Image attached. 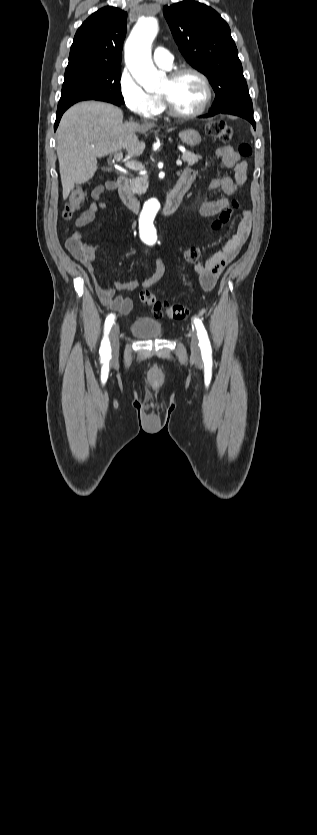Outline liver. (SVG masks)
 Masks as SVG:
<instances>
[{"label":"liver","instance_id":"1","mask_svg":"<svg viewBox=\"0 0 317 835\" xmlns=\"http://www.w3.org/2000/svg\"><path fill=\"white\" fill-rule=\"evenodd\" d=\"M154 126L123 122L122 110L109 103L83 101L70 107L56 132L63 198L67 199L74 184L85 183L94 176L97 158L121 149H126L131 157L140 156L145 143L138 140L137 134L147 133Z\"/></svg>","mask_w":317,"mask_h":835}]
</instances>
